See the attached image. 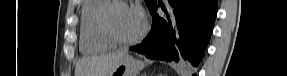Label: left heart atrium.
Here are the masks:
<instances>
[{
    "label": "left heart atrium",
    "mask_w": 287,
    "mask_h": 76,
    "mask_svg": "<svg viewBox=\"0 0 287 76\" xmlns=\"http://www.w3.org/2000/svg\"><path fill=\"white\" fill-rule=\"evenodd\" d=\"M133 9L137 13V15L143 20L144 19V12L140 6H134Z\"/></svg>",
    "instance_id": "39dd6f15"
}]
</instances>
